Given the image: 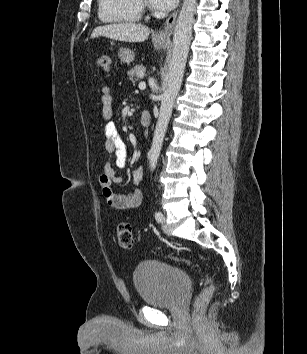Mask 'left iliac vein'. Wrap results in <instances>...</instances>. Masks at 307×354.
Masks as SVG:
<instances>
[{
	"label": "left iliac vein",
	"instance_id": "1",
	"mask_svg": "<svg viewBox=\"0 0 307 354\" xmlns=\"http://www.w3.org/2000/svg\"><path fill=\"white\" fill-rule=\"evenodd\" d=\"M162 230L164 231L165 234L170 235L171 234V230L168 226V224L165 222V218L162 221Z\"/></svg>",
	"mask_w": 307,
	"mask_h": 354
}]
</instances>
